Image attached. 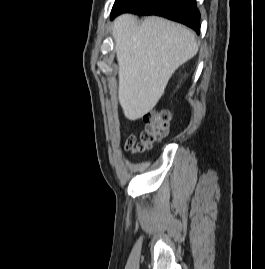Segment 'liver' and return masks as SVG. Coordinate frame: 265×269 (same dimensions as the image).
<instances>
[{
  "label": "liver",
  "mask_w": 265,
  "mask_h": 269,
  "mask_svg": "<svg viewBox=\"0 0 265 269\" xmlns=\"http://www.w3.org/2000/svg\"><path fill=\"white\" fill-rule=\"evenodd\" d=\"M112 33L118 99L125 117L137 120L155 107L173 73L196 55L198 44L188 28L156 16L140 23L134 15L122 14Z\"/></svg>",
  "instance_id": "obj_1"
}]
</instances>
